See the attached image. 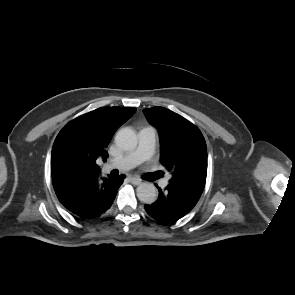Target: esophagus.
Returning a JSON list of instances; mask_svg holds the SVG:
<instances>
[{
    "label": "esophagus",
    "instance_id": "1",
    "mask_svg": "<svg viewBox=\"0 0 295 295\" xmlns=\"http://www.w3.org/2000/svg\"><path fill=\"white\" fill-rule=\"evenodd\" d=\"M129 179H130V182H131L132 184H134V185H138V184L141 183V179H139V178H137V177H133V176H131V177H129Z\"/></svg>",
    "mask_w": 295,
    "mask_h": 295
}]
</instances>
